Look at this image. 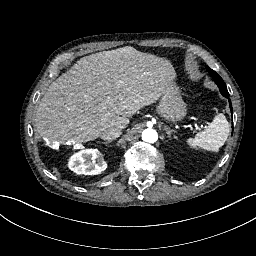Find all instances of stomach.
<instances>
[{
    "mask_svg": "<svg viewBox=\"0 0 256 256\" xmlns=\"http://www.w3.org/2000/svg\"><path fill=\"white\" fill-rule=\"evenodd\" d=\"M156 113L168 122H179L187 116L186 104L175 82L162 89V96L156 106Z\"/></svg>",
    "mask_w": 256,
    "mask_h": 256,
    "instance_id": "obj_1",
    "label": "stomach"
}]
</instances>
